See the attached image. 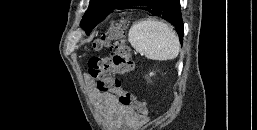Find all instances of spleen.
Segmentation results:
<instances>
[{"label": "spleen", "instance_id": "1", "mask_svg": "<svg viewBox=\"0 0 257 130\" xmlns=\"http://www.w3.org/2000/svg\"><path fill=\"white\" fill-rule=\"evenodd\" d=\"M128 40L136 52L151 60H172L180 50L179 39L173 29L154 19L135 22L129 30Z\"/></svg>", "mask_w": 257, "mask_h": 130}]
</instances>
